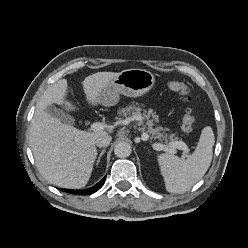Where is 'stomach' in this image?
Segmentation results:
<instances>
[{
  "mask_svg": "<svg viewBox=\"0 0 248 248\" xmlns=\"http://www.w3.org/2000/svg\"><path fill=\"white\" fill-rule=\"evenodd\" d=\"M155 84L154 75L145 69H126L112 79L100 92L99 104L114 106L119 102V95L128 97L142 96Z\"/></svg>",
  "mask_w": 248,
  "mask_h": 248,
  "instance_id": "obj_1",
  "label": "stomach"
}]
</instances>
